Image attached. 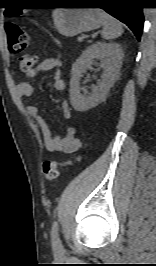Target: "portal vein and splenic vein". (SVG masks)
I'll list each match as a JSON object with an SVG mask.
<instances>
[{
    "instance_id": "1",
    "label": "portal vein and splenic vein",
    "mask_w": 156,
    "mask_h": 266,
    "mask_svg": "<svg viewBox=\"0 0 156 266\" xmlns=\"http://www.w3.org/2000/svg\"><path fill=\"white\" fill-rule=\"evenodd\" d=\"M78 41H79V42L83 41V38H82V37H79V38H78Z\"/></svg>"
}]
</instances>
